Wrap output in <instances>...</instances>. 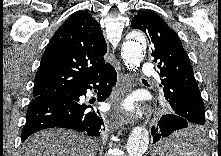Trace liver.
<instances>
[{
    "label": "liver",
    "mask_w": 221,
    "mask_h": 156,
    "mask_svg": "<svg viewBox=\"0 0 221 156\" xmlns=\"http://www.w3.org/2000/svg\"><path fill=\"white\" fill-rule=\"evenodd\" d=\"M95 142L65 129H47L30 136L20 147V156H96Z\"/></svg>",
    "instance_id": "liver-1"
}]
</instances>
